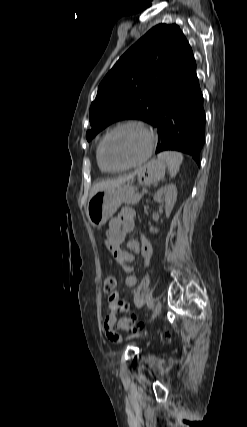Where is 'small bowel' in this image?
<instances>
[{
    "instance_id": "small-bowel-1",
    "label": "small bowel",
    "mask_w": 247,
    "mask_h": 427,
    "mask_svg": "<svg viewBox=\"0 0 247 427\" xmlns=\"http://www.w3.org/2000/svg\"><path fill=\"white\" fill-rule=\"evenodd\" d=\"M135 214L131 209H123L118 216L111 219L109 228L106 234L107 249L113 254L117 263L127 272L125 285L127 287L135 286L137 278L133 273V268L129 265L134 256L132 253L140 254L143 258L144 265L148 266L152 258L153 249L149 240L141 236L139 240H127V235L131 233L135 227ZM126 242L130 252L120 248L122 243ZM132 252V253H131ZM130 305L127 302L121 301L118 292H113L108 298L109 313L104 321V329L109 340L120 342L121 336L114 330L116 322V314L121 311L129 310Z\"/></svg>"
}]
</instances>
